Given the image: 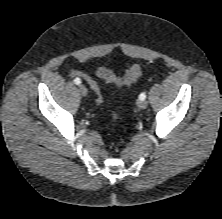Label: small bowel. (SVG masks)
I'll return each mask as SVG.
<instances>
[{
  "instance_id": "obj_1",
  "label": "small bowel",
  "mask_w": 222,
  "mask_h": 219,
  "mask_svg": "<svg viewBox=\"0 0 222 219\" xmlns=\"http://www.w3.org/2000/svg\"><path fill=\"white\" fill-rule=\"evenodd\" d=\"M73 74L83 78L89 84V86L91 83L97 84L96 81L92 77L80 71H73Z\"/></svg>"
}]
</instances>
